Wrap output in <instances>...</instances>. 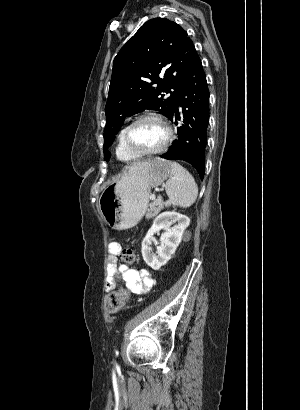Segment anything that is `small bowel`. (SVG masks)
Segmentation results:
<instances>
[{
  "label": "small bowel",
  "mask_w": 300,
  "mask_h": 410,
  "mask_svg": "<svg viewBox=\"0 0 300 410\" xmlns=\"http://www.w3.org/2000/svg\"><path fill=\"white\" fill-rule=\"evenodd\" d=\"M120 251L119 243L109 245V257L107 260L108 277L105 288L111 290L122 281L126 287L134 294L147 293L153 286V278L146 269L135 270L127 265L119 264L116 255Z\"/></svg>",
  "instance_id": "c3829d8e"
}]
</instances>
